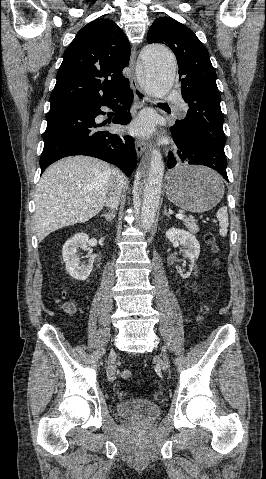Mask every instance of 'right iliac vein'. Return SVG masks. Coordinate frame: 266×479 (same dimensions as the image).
Instances as JSON below:
<instances>
[{"label": "right iliac vein", "instance_id": "63e3f726", "mask_svg": "<svg viewBox=\"0 0 266 479\" xmlns=\"http://www.w3.org/2000/svg\"><path fill=\"white\" fill-rule=\"evenodd\" d=\"M115 361V352L112 351L109 355L108 365L109 367H113Z\"/></svg>", "mask_w": 266, "mask_h": 479}]
</instances>
